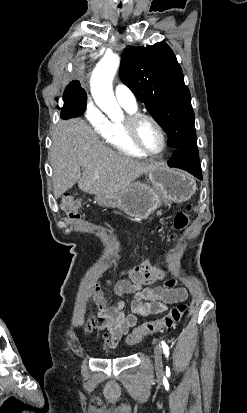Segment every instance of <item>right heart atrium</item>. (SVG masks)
Returning <instances> with one entry per match:
<instances>
[{
    "instance_id": "right-heart-atrium-1",
    "label": "right heart atrium",
    "mask_w": 247,
    "mask_h": 413,
    "mask_svg": "<svg viewBox=\"0 0 247 413\" xmlns=\"http://www.w3.org/2000/svg\"><path fill=\"white\" fill-rule=\"evenodd\" d=\"M84 107L86 109H92L84 111V118L89 119L92 128H94V132L106 133L108 121L106 120V113L103 110V107L101 105H95L93 100H86L84 102Z\"/></svg>"
}]
</instances>
